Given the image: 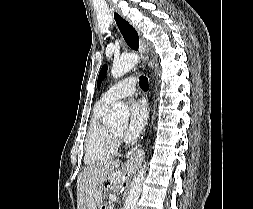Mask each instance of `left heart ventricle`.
Here are the masks:
<instances>
[{
    "label": "left heart ventricle",
    "mask_w": 253,
    "mask_h": 209,
    "mask_svg": "<svg viewBox=\"0 0 253 209\" xmlns=\"http://www.w3.org/2000/svg\"><path fill=\"white\" fill-rule=\"evenodd\" d=\"M123 129H124V126H118V127L113 128L115 132L120 133V134L122 133Z\"/></svg>",
    "instance_id": "left-heart-ventricle-1"
}]
</instances>
